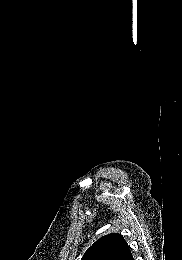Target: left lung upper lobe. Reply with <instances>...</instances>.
I'll list each match as a JSON object with an SVG mask.
<instances>
[{
    "label": "left lung upper lobe",
    "instance_id": "5c2ea615",
    "mask_svg": "<svg viewBox=\"0 0 182 260\" xmlns=\"http://www.w3.org/2000/svg\"><path fill=\"white\" fill-rule=\"evenodd\" d=\"M130 248L124 238L117 233L102 236L87 249L81 260H126Z\"/></svg>",
    "mask_w": 182,
    "mask_h": 260
}]
</instances>
